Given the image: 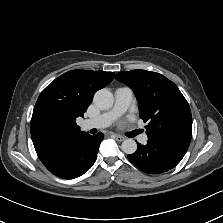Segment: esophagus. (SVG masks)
<instances>
[{"mask_svg": "<svg viewBox=\"0 0 223 223\" xmlns=\"http://www.w3.org/2000/svg\"><path fill=\"white\" fill-rule=\"evenodd\" d=\"M115 139L119 142H122L123 140H125V137L121 136V135H116Z\"/></svg>", "mask_w": 223, "mask_h": 223, "instance_id": "esophagus-1", "label": "esophagus"}]
</instances>
